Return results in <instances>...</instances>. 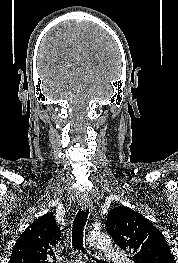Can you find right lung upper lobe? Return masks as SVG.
I'll list each match as a JSON object with an SVG mask.
<instances>
[{
  "label": "right lung upper lobe",
  "instance_id": "obj_1",
  "mask_svg": "<svg viewBox=\"0 0 178 263\" xmlns=\"http://www.w3.org/2000/svg\"><path fill=\"white\" fill-rule=\"evenodd\" d=\"M61 236L55 216L45 214L34 221L18 238L9 263H50Z\"/></svg>",
  "mask_w": 178,
  "mask_h": 263
}]
</instances>
